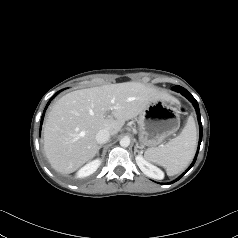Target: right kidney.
Masks as SVG:
<instances>
[{"mask_svg": "<svg viewBox=\"0 0 238 238\" xmlns=\"http://www.w3.org/2000/svg\"><path fill=\"white\" fill-rule=\"evenodd\" d=\"M100 164H101V161L99 159L93 160L92 162L86 164L84 167H82L78 171L77 177L83 178L93 174L98 169Z\"/></svg>", "mask_w": 238, "mask_h": 238, "instance_id": "right-kidney-1", "label": "right kidney"}]
</instances>
